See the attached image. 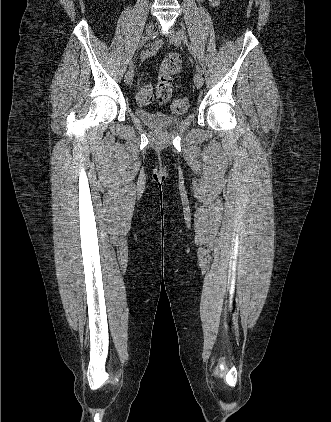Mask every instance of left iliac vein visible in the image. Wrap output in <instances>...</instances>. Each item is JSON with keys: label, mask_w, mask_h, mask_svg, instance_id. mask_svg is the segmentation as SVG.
I'll use <instances>...</instances> for the list:
<instances>
[{"label": "left iliac vein", "mask_w": 331, "mask_h": 422, "mask_svg": "<svg viewBox=\"0 0 331 422\" xmlns=\"http://www.w3.org/2000/svg\"><path fill=\"white\" fill-rule=\"evenodd\" d=\"M169 39L174 46L178 47L183 41L182 33L180 31L171 32L169 34ZM194 84L197 88H201L203 85L202 74L198 71H196V73L194 74Z\"/></svg>", "instance_id": "4c4485c4"}]
</instances>
